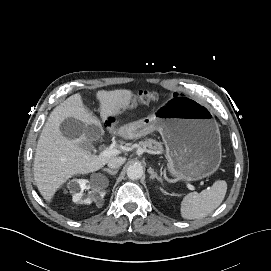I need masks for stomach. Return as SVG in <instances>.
Instances as JSON below:
<instances>
[{"instance_id": "obj_1", "label": "stomach", "mask_w": 271, "mask_h": 271, "mask_svg": "<svg viewBox=\"0 0 271 271\" xmlns=\"http://www.w3.org/2000/svg\"><path fill=\"white\" fill-rule=\"evenodd\" d=\"M123 136L139 138L157 130L166 146L167 169L177 181H196L221 163V137L210 109L188 97H174L153 114L122 127Z\"/></svg>"}]
</instances>
